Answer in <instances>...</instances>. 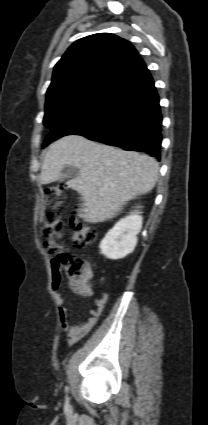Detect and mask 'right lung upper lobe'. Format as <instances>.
Segmentation results:
<instances>
[{"label":"right lung upper lobe","instance_id":"right-lung-upper-lobe-1","mask_svg":"<svg viewBox=\"0 0 208 425\" xmlns=\"http://www.w3.org/2000/svg\"><path fill=\"white\" fill-rule=\"evenodd\" d=\"M141 60L125 39L98 33L74 42L55 65L46 102L86 89H105Z\"/></svg>","mask_w":208,"mask_h":425}]
</instances>
